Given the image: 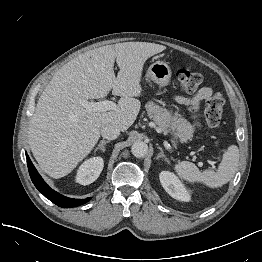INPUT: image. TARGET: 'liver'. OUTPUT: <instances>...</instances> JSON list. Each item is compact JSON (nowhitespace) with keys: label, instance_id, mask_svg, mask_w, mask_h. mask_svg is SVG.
<instances>
[{"label":"liver","instance_id":"obj_1","mask_svg":"<svg viewBox=\"0 0 262 262\" xmlns=\"http://www.w3.org/2000/svg\"><path fill=\"white\" fill-rule=\"evenodd\" d=\"M165 49L155 43L124 42L87 51L63 65L42 92L30 121L28 143L40 168L55 179L64 177L91 152L103 125L126 131L140 111L143 65ZM111 90L121 97L115 110L88 111L82 106V100L104 98Z\"/></svg>","mask_w":262,"mask_h":262}]
</instances>
